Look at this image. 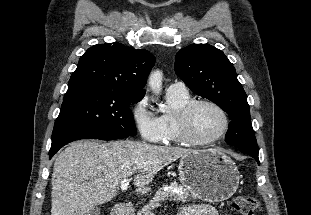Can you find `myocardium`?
I'll list each match as a JSON object with an SVG mask.
<instances>
[{"instance_id":"myocardium-1","label":"myocardium","mask_w":311,"mask_h":215,"mask_svg":"<svg viewBox=\"0 0 311 215\" xmlns=\"http://www.w3.org/2000/svg\"><path fill=\"white\" fill-rule=\"evenodd\" d=\"M200 105H210L214 107L219 111L223 119V124L220 131L213 137L205 140H200L194 137L191 129L193 112ZM176 118L182 142L191 146L210 145L219 140L226 133L229 127V117L225 109L215 101L209 99H198L190 101L178 111Z\"/></svg>"}]
</instances>
